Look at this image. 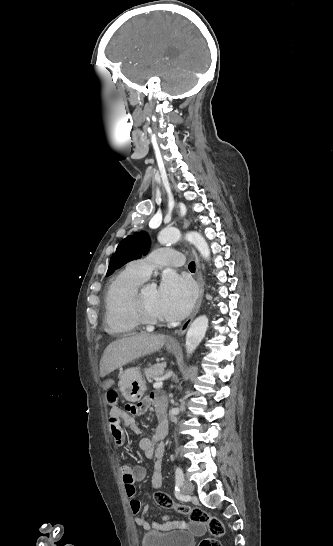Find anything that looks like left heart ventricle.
Masks as SVG:
<instances>
[{"mask_svg":"<svg viewBox=\"0 0 333 546\" xmlns=\"http://www.w3.org/2000/svg\"><path fill=\"white\" fill-rule=\"evenodd\" d=\"M145 308L154 316L162 318L158 308V291L154 287H146L142 293Z\"/></svg>","mask_w":333,"mask_h":546,"instance_id":"left-heart-ventricle-1","label":"left heart ventricle"}]
</instances>
